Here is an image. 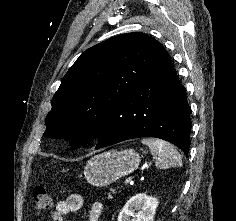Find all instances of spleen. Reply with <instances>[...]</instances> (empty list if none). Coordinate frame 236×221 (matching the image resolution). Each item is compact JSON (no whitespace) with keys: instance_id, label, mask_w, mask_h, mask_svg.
Listing matches in <instances>:
<instances>
[{"instance_id":"1","label":"spleen","mask_w":236,"mask_h":221,"mask_svg":"<svg viewBox=\"0 0 236 221\" xmlns=\"http://www.w3.org/2000/svg\"><path fill=\"white\" fill-rule=\"evenodd\" d=\"M141 142L147 145L151 154L156 157L155 165L157 168L182 166L181 155L171 143L158 138H144Z\"/></svg>"}]
</instances>
